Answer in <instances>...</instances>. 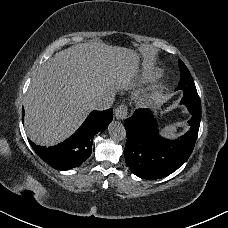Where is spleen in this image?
Listing matches in <instances>:
<instances>
[{
	"label": "spleen",
	"mask_w": 228,
	"mask_h": 228,
	"mask_svg": "<svg viewBox=\"0 0 228 228\" xmlns=\"http://www.w3.org/2000/svg\"><path fill=\"white\" fill-rule=\"evenodd\" d=\"M178 128V123H173L165 127L164 132L166 136H173L175 129Z\"/></svg>",
	"instance_id": "1"
}]
</instances>
